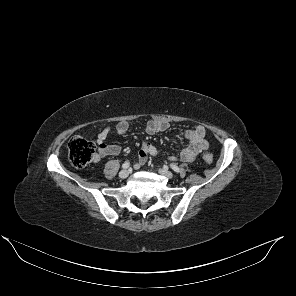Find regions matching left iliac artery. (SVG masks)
Instances as JSON below:
<instances>
[{
  "instance_id": "obj_1",
  "label": "left iliac artery",
  "mask_w": 296,
  "mask_h": 296,
  "mask_svg": "<svg viewBox=\"0 0 296 296\" xmlns=\"http://www.w3.org/2000/svg\"><path fill=\"white\" fill-rule=\"evenodd\" d=\"M164 167H166V165ZM170 167L173 171H175L177 173L180 172V168L178 166H176L175 164H170Z\"/></svg>"
}]
</instances>
